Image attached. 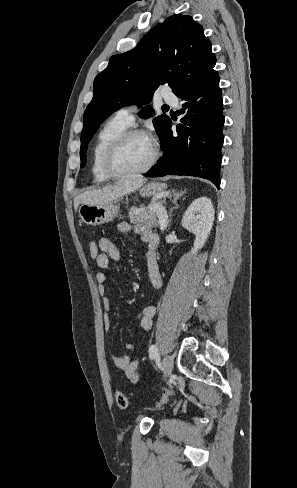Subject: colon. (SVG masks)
<instances>
[{"label":"colon","instance_id":"5ec220e1","mask_svg":"<svg viewBox=\"0 0 297 488\" xmlns=\"http://www.w3.org/2000/svg\"><path fill=\"white\" fill-rule=\"evenodd\" d=\"M88 247H89L90 257L93 260H96L100 252L98 244L95 241H90ZM173 393H174L173 389L165 388L163 390L162 398L156 403L155 408L157 409L161 408ZM115 401L120 410H125L128 407V397L122 391L115 392Z\"/></svg>","mask_w":297,"mask_h":488}]
</instances>
